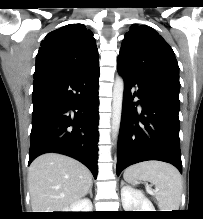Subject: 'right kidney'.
Instances as JSON below:
<instances>
[{"mask_svg":"<svg viewBox=\"0 0 203 219\" xmlns=\"http://www.w3.org/2000/svg\"><path fill=\"white\" fill-rule=\"evenodd\" d=\"M91 200L84 198L70 205L69 208L63 210V212H92Z\"/></svg>","mask_w":203,"mask_h":219,"instance_id":"obj_1","label":"right kidney"}]
</instances>
